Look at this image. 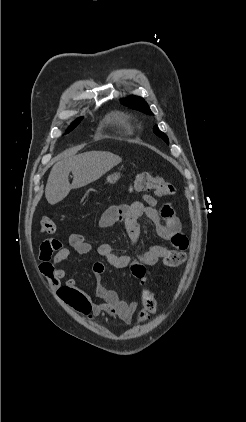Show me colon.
Segmentation results:
<instances>
[{
    "instance_id": "1",
    "label": "colon",
    "mask_w": 246,
    "mask_h": 422,
    "mask_svg": "<svg viewBox=\"0 0 246 422\" xmlns=\"http://www.w3.org/2000/svg\"><path fill=\"white\" fill-rule=\"evenodd\" d=\"M133 188L137 191L152 190L158 196H171L174 194V186L165 178L154 175L151 172H140L134 179ZM41 231L46 234H53L56 231V222L49 217L41 220ZM186 253L182 250H171L162 260L165 266L174 267L184 263ZM141 279L144 281L146 271L141 270ZM143 283V282H142ZM157 310V302L151 292L144 289L140 296V307L137 315L139 322H143L150 318Z\"/></svg>"
}]
</instances>
